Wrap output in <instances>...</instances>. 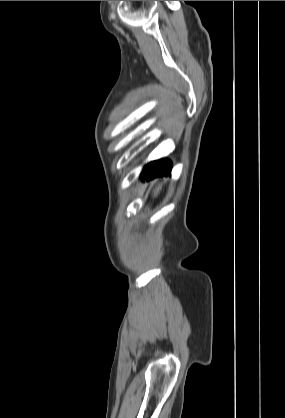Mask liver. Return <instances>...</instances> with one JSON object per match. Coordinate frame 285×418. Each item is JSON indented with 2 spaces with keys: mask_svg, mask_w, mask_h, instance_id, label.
Here are the masks:
<instances>
[{
  "mask_svg": "<svg viewBox=\"0 0 285 418\" xmlns=\"http://www.w3.org/2000/svg\"><path fill=\"white\" fill-rule=\"evenodd\" d=\"M160 185H158V187L155 189V191H154V194H156L158 191H159V189H160Z\"/></svg>",
  "mask_w": 285,
  "mask_h": 418,
  "instance_id": "obj_1",
  "label": "liver"
}]
</instances>
